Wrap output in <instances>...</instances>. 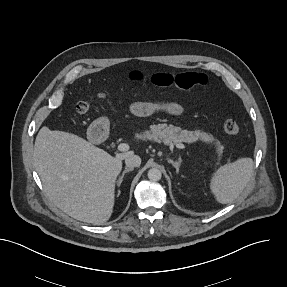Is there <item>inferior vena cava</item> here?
Segmentation results:
<instances>
[{"label":"inferior vena cava","mask_w":287,"mask_h":287,"mask_svg":"<svg viewBox=\"0 0 287 287\" xmlns=\"http://www.w3.org/2000/svg\"><path fill=\"white\" fill-rule=\"evenodd\" d=\"M125 164L129 168L138 167L141 164V158L138 155L131 154L126 157Z\"/></svg>","instance_id":"obj_1"}]
</instances>
